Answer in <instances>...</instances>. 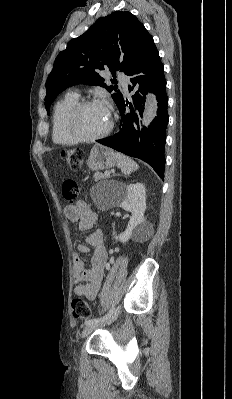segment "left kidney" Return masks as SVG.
<instances>
[{
    "label": "left kidney",
    "mask_w": 232,
    "mask_h": 399,
    "mask_svg": "<svg viewBox=\"0 0 232 399\" xmlns=\"http://www.w3.org/2000/svg\"><path fill=\"white\" fill-rule=\"evenodd\" d=\"M121 201L120 207L125 211H131L132 215L128 221L125 231L116 235L113 231L114 239L118 241H128L130 237L136 241H143L148 235L150 223L145 221L144 211L146 209V194L143 184H120L119 188Z\"/></svg>",
    "instance_id": "left-kidney-1"
}]
</instances>
